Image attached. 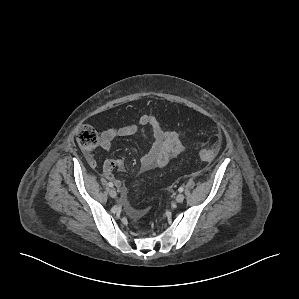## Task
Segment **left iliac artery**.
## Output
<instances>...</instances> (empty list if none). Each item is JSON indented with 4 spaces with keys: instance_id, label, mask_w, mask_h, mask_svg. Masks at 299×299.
<instances>
[{
    "instance_id": "1",
    "label": "left iliac artery",
    "mask_w": 299,
    "mask_h": 299,
    "mask_svg": "<svg viewBox=\"0 0 299 299\" xmlns=\"http://www.w3.org/2000/svg\"><path fill=\"white\" fill-rule=\"evenodd\" d=\"M184 188L183 187H179L178 191L179 192H183Z\"/></svg>"
}]
</instances>
